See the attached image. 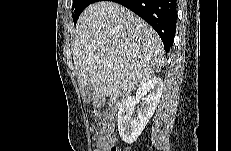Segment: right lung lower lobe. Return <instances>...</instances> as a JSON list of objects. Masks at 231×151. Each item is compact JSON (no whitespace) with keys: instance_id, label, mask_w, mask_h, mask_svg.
Returning a JSON list of instances; mask_svg holds the SVG:
<instances>
[{"instance_id":"1","label":"right lung lower lobe","mask_w":231,"mask_h":151,"mask_svg":"<svg viewBox=\"0 0 231 151\" xmlns=\"http://www.w3.org/2000/svg\"><path fill=\"white\" fill-rule=\"evenodd\" d=\"M114 2L130 9L150 24L162 39L165 51L170 50L176 30V0H114Z\"/></svg>"}]
</instances>
